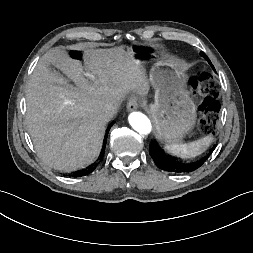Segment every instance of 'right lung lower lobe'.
Here are the masks:
<instances>
[{
    "label": "right lung lower lobe",
    "mask_w": 253,
    "mask_h": 253,
    "mask_svg": "<svg viewBox=\"0 0 253 253\" xmlns=\"http://www.w3.org/2000/svg\"><path fill=\"white\" fill-rule=\"evenodd\" d=\"M93 170H94V168H90L87 172L75 173L73 176H74V177L84 176V175H86V174L91 173Z\"/></svg>",
    "instance_id": "1"
}]
</instances>
